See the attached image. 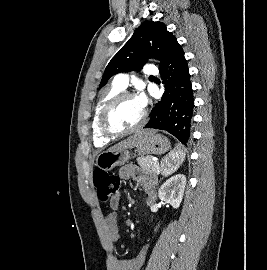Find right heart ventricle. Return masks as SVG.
I'll use <instances>...</instances> for the list:
<instances>
[{
  "instance_id": "right-heart-ventricle-1",
  "label": "right heart ventricle",
  "mask_w": 267,
  "mask_h": 270,
  "mask_svg": "<svg viewBox=\"0 0 267 270\" xmlns=\"http://www.w3.org/2000/svg\"><path fill=\"white\" fill-rule=\"evenodd\" d=\"M123 89H121L120 87H118L115 83H113L107 90H105V92L101 95V97L99 98L96 106H95V110H94V114H93V118H92V124H91V128H92V137H93V142L97 147H103L107 144L110 143V141L112 139H109L105 136L102 135V133L100 132L99 129V117H100V113L102 111V109L104 108V106L117 94H119Z\"/></svg>"
}]
</instances>
